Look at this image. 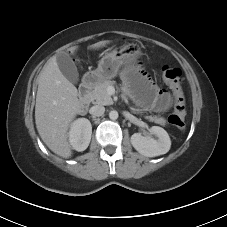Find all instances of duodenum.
<instances>
[{
  "instance_id": "obj_1",
  "label": "duodenum",
  "mask_w": 227,
  "mask_h": 227,
  "mask_svg": "<svg viewBox=\"0 0 227 227\" xmlns=\"http://www.w3.org/2000/svg\"><path fill=\"white\" fill-rule=\"evenodd\" d=\"M94 83V78L91 75L86 76L80 87V99L78 102V111H82L89 104V91Z\"/></svg>"
}]
</instances>
